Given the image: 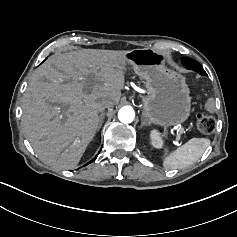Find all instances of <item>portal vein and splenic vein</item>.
Instances as JSON below:
<instances>
[{
  "mask_svg": "<svg viewBox=\"0 0 237 237\" xmlns=\"http://www.w3.org/2000/svg\"><path fill=\"white\" fill-rule=\"evenodd\" d=\"M181 126H182V125H181ZM179 130H180V132H181L180 134L183 136V135L185 134V133H184V132H185L184 129L181 127Z\"/></svg>",
  "mask_w": 237,
  "mask_h": 237,
  "instance_id": "obj_1",
  "label": "portal vein and splenic vein"
}]
</instances>
